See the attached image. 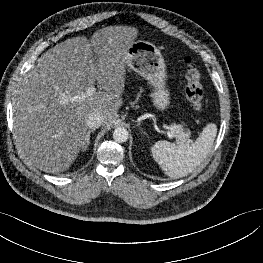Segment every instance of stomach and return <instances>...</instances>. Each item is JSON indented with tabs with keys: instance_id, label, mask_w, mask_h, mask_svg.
Listing matches in <instances>:
<instances>
[{
	"instance_id": "0dacf381",
	"label": "stomach",
	"mask_w": 263,
	"mask_h": 263,
	"mask_svg": "<svg viewBox=\"0 0 263 263\" xmlns=\"http://www.w3.org/2000/svg\"><path fill=\"white\" fill-rule=\"evenodd\" d=\"M126 64L147 80L154 108L166 111L171 105V94L166 87V64L160 50L148 41H134L127 50Z\"/></svg>"
}]
</instances>
